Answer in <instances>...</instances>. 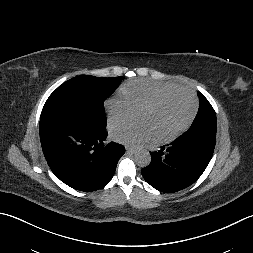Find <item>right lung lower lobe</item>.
Segmentation results:
<instances>
[{
    "label": "right lung lower lobe",
    "mask_w": 253,
    "mask_h": 253,
    "mask_svg": "<svg viewBox=\"0 0 253 253\" xmlns=\"http://www.w3.org/2000/svg\"><path fill=\"white\" fill-rule=\"evenodd\" d=\"M39 132L42 150L52 172L66 185L81 191L104 187L125 153L121 144H104L105 128L69 117L43 118Z\"/></svg>",
    "instance_id": "right-lung-lower-lobe-1"
}]
</instances>
